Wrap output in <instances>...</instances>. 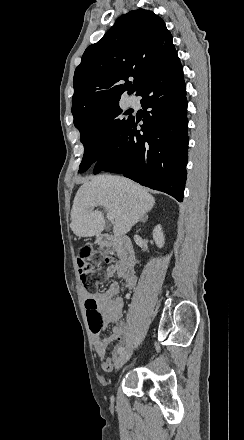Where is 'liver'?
I'll return each instance as SVG.
<instances>
[{"mask_svg": "<svg viewBox=\"0 0 244 440\" xmlns=\"http://www.w3.org/2000/svg\"><path fill=\"white\" fill-rule=\"evenodd\" d=\"M94 202L114 214V236H125L155 204L153 196L132 180L108 174L95 176L83 182L74 198L70 228L79 238L99 236L105 228L103 212H93Z\"/></svg>", "mask_w": 244, "mask_h": 440, "instance_id": "liver-1", "label": "liver"}]
</instances>
